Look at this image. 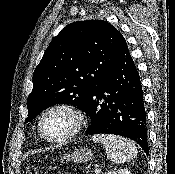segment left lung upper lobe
I'll use <instances>...</instances> for the list:
<instances>
[{"label":"left lung upper lobe","mask_w":175,"mask_h":174,"mask_svg":"<svg viewBox=\"0 0 175 174\" xmlns=\"http://www.w3.org/2000/svg\"><path fill=\"white\" fill-rule=\"evenodd\" d=\"M126 47L122 34L106 21L68 24L52 40L34 71L25 123L55 104H73L84 110L90 92Z\"/></svg>","instance_id":"5c2ea615"}]
</instances>
